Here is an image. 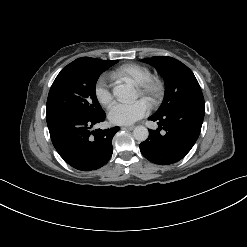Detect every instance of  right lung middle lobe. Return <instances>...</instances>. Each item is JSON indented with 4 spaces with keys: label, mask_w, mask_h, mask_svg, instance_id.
Returning a JSON list of instances; mask_svg holds the SVG:
<instances>
[{
    "label": "right lung middle lobe",
    "mask_w": 247,
    "mask_h": 247,
    "mask_svg": "<svg viewBox=\"0 0 247 247\" xmlns=\"http://www.w3.org/2000/svg\"><path fill=\"white\" fill-rule=\"evenodd\" d=\"M117 62L90 58L73 61L64 67L49 91L47 123L68 115L95 117L102 113L95 85L99 76Z\"/></svg>",
    "instance_id": "obj_1"
}]
</instances>
